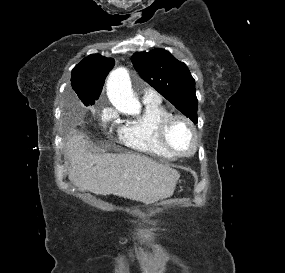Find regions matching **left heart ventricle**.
<instances>
[{"mask_svg":"<svg viewBox=\"0 0 285 273\" xmlns=\"http://www.w3.org/2000/svg\"><path fill=\"white\" fill-rule=\"evenodd\" d=\"M169 139L171 144L183 151H187L192 145V136L188 127L183 122H176L170 129Z\"/></svg>","mask_w":285,"mask_h":273,"instance_id":"1","label":"left heart ventricle"}]
</instances>
